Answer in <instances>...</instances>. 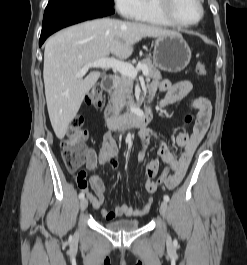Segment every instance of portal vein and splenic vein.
<instances>
[{
	"label": "portal vein and splenic vein",
	"instance_id": "obj_1",
	"mask_svg": "<svg viewBox=\"0 0 247 265\" xmlns=\"http://www.w3.org/2000/svg\"><path fill=\"white\" fill-rule=\"evenodd\" d=\"M91 67L96 68H112L114 70H117L122 75L129 76L132 78H136L138 71L142 70L144 74L148 73V68L145 65H138L137 67H134L133 65L113 59V58H101L95 62L89 63L88 65H85L77 74L76 77L80 78L85 75V73L89 70Z\"/></svg>",
	"mask_w": 247,
	"mask_h": 265
}]
</instances>
